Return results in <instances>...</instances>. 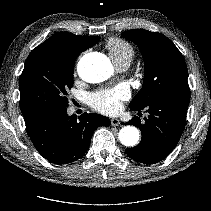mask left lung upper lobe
<instances>
[{"instance_id":"left-lung-upper-lobe-1","label":"left lung upper lobe","mask_w":211,"mask_h":211,"mask_svg":"<svg viewBox=\"0 0 211 211\" xmlns=\"http://www.w3.org/2000/svg\"><path fill=\"white\" fill-rule=\"evenodd\" d=\"M121 35L138 46L145 62L143 87L131 101V109H142L171 91H190L183 55L166 36L145 29Z\"/></svg>"}]
</instances>
